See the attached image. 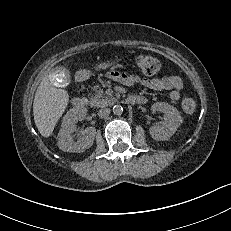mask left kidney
<instances>
[{"label": "left kidney", "instance_id": "1", "mask_svg": "<svg viewBox=\"0 0 231 231\" xmlns=\"http://www.w3.org/2000/svg\"><path fill=\"white\" fill-rule=\"evenodd\" d=\"M153 111L164 113L162 125L152 126L150 134L155 140H168L182 124L183 118L180 112L172 105L165 102H156L152 105Z\"/></svg>", "mask_w": 231, "mask_h": 231}]
</instances>
